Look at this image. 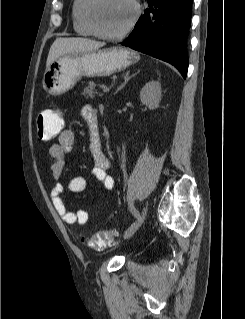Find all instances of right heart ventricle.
Segmentation results:
<instances>
[{"label": "right heart ventricle", "instance_id": "1", "mask_svg": "<svg viewBox=\"0 0 245 319\" xmlns=\"http://www.w3.org/2000/svg\"><path fill=\"white\" fill-rule=\"evenodd\" d=\"M87 0H73L71 18L75 32L82 36H94L95 33L88 25L85 18V5Z\"/></svg>", "mask_w": 245, "mask_h": 319}]
</instances>
